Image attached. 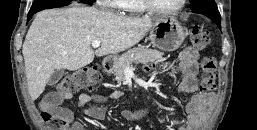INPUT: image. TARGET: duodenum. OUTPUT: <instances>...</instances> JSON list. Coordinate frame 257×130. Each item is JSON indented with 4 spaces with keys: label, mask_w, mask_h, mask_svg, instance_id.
I'll return each instance as SVG.
<instances>
[{
    "label": "duodenum",
    "mask_w": 257,
    "mask_h": 130,
    "mask_svg": "<svg viewBox=\"0 0 257 130\" xmlns=\"http://www.w3.org/2000/svg\"><path fill=\"white\" fill-rule=\"evenodd\" d=\"M112 67H113V63H112V60L110 59H105L103 62H102V71L105 72V73H109L111 70H112Z\"/></svg>",
    "instance_id": "obj_1"
}]
</instances>
